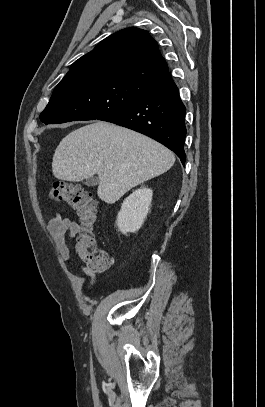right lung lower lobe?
<instances>
[{"label": "right lung lower lobe", "mask_w": 265, "mask_h": 407, "mask_svg": "<svg viewBox=\"0 0 265 407\" xmlns=\"http://www.w3.org/2000/svg\"><path fill=\"white\" fill-rule=\"evenodd\" d=\"M185 111L178 88L170 77L136 104L99 120L127 127L155 139L172 150L184 165Z\"/></svg>", "instance_id": "98d812e1"}]
</instances>
